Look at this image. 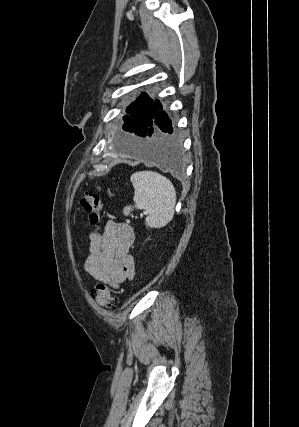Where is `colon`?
I'll return each mask as SVG.
<instances>
[{
	"mask_svg": "<svg viewBox=\"0 0 299 427\" xmlns=\"http://www.w3.org/2000/svg\"><path fill=\"white\" fill-rule=\"evenodd\" d=\"M80 204L89 215L90 223L93 225L97 224L103 209L99 194L86 191L80 200ZM94 299L99 305L105 307H113L116 304V298L112 295L110 288L103 283H99L96 286Z\"/></svg>",
	"mask_w": 299,
	"mask_h": 427,
	"instance_id": "1",
	"label": "colon"
}]
</instances>
